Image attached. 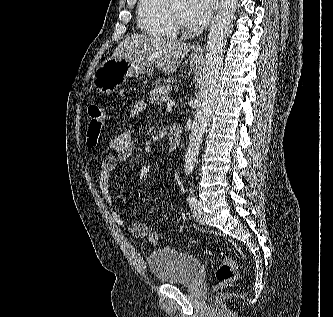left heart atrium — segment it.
Returning a JSON list of instances; mask_svg holds the SVG:
<instances>
[{"instance_id":"39dd6f15","label":"left heart atrium","mask_w":333,"mask_h":317,"mask_svg":"<svg viewBox=\"0 0 333 317\" xmlns=\"http://www.w3.org/2000/svg\"><path fill=\"white\" fill-rule=\"evenodd\" d=\"M214 7L215 0H186L185 20L193 26H204L211 18Z\"/></svg>"}]
</instances>
